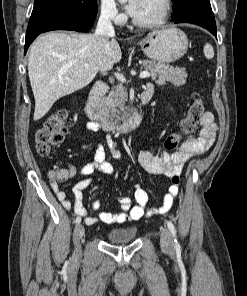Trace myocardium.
Masks as SVG:
<instances>
[{
    "label": "myocardium",
    "mask_w": 247,
    "mask_h": 296,
    "mask_svg": "<svg viewBox=\"0 0 247 296\" xmlns=\"http://www.w3.org/2000/svg\"><path fill=\"white\" fill-rule=\"evenodd\" d=\"M161 5H162V9H161L160 15L156 19L148 22H141L135 19L134 17H132V23L135 26L139 28H144V29L156 28L163 25L167 21L171 12V8H172L171 0H161Z\"/></svg>",
    "instance_id": "obj_1"
}]
</instances>
